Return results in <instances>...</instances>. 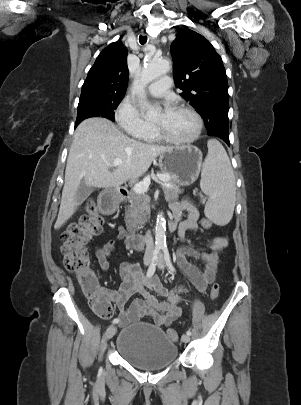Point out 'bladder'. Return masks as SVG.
<instances>
[{"label": "bladder", "mask_w": 301, "mask_h": 405, "mask_svg": "<svg viewBox=\"0 0 301 405\" xmlns=\"http://www.w3.org/2000/svg\"><path fill=\"white\" fill-rule=\"evenodd\" d=\"M116 351L133 366L147 371L168 367L178 355L175 342L161 328L146 322L123 328L116 340Z\"/></svg>", "instance_id": "31cf9c89"}]
</instances>
